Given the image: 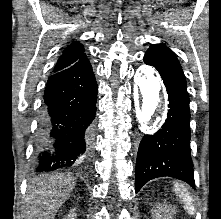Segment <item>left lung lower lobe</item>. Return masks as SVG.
Segmentation results:
<instances>
[{"instance_id":"obj_1","label":"left lung lower lobe","mask_w":221,"mask_h":219,"mask_svg":"<svg viewBox=\"0 0 221 219\" xmlns=\"http://www.w3.org/2000/svg\"><path fill=\"white\" fill-rule=\"evenodd\" d=\"M144 62L160 73L169 95L167 119L154 135H145L136 162V193L151 179L169 176L195 188L190 153V110L186 79L175 53L152 45Z\"/></svg>"}]
</instances>
